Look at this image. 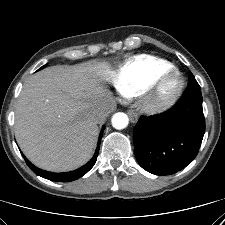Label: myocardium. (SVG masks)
Wrapping results in <instances>:
<instances>
[{"label":"myocardium","mask_w":225,"mask_h":225,"mask_svg":"<svg viewBox=\"0 0 225 225\" xmlns=\"http://www.w3.org/2000/svg\"><path fill=\"white\" fill-rule=\"evenodd\" d=\"M183 85V76L178 70L161 73L140 93V109L149 115L168 110L176 102Z\"/></svg>","instance_id":"myocardium-1"}]
</instances>
